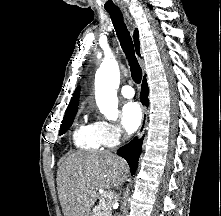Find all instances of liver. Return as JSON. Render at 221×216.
Returning a JSON list of instances; mask_svg holds the SVG:
<instances>
[{
  "instance_id": "liver-1",
  "label": "liver",
  "mask_w": 221,
  "mask_h": 216,
  "mask_svg": "<svg viewBox=\"0 0 221 216\" xmlns=\"http://www.w3.org/2000/svg\"><path fill=\"white\" fill-rule=\"evenodd\" d=\"M127 162L110 152H76L59 165L57 189L64 216H90L98 190L120 187Z\"/></svg>"
}]
</instances>
